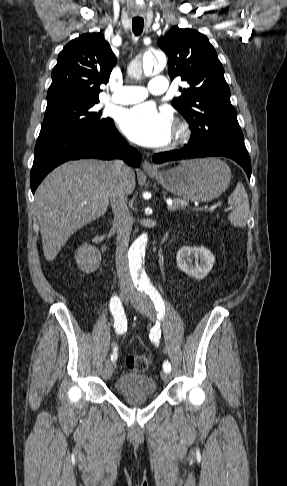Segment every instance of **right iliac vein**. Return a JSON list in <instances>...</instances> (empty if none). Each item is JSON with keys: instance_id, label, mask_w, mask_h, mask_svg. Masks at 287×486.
<instances>
[{"instance_id": "63e3f726", "label": "right iliac vein", "mask_w": 287, "mask_h": 486, "mask_svg": "<svg viewBox=\"0 0 287 486\" xmlns=\"http://www.w3.org/2000/svg\"><path fill=\"white\" fill-rule=\"evenodd\" d=\"M131 297H132V292H130L129 290H122L120 293V298L124 303H127L131 299ZM112 371L113 370L110 361L107 360L103 367L102 377L106 380L110 379L112 376Z\"/></svg>"}]
</instances>
